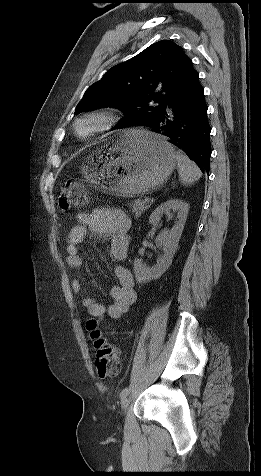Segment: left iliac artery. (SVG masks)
<instances>
[{
	"instance_id": "obj_1",
	"label": "left iliac artery",
	"mask_w": 261,
	"mask_h": 476,
	"mask_svg": "<svg viewBox=\"0 0 261 476\" xmlns=\"http://www.w3.org/2000/svg\"><path fill=\"white\" fill-rule=\"evenodd\" d=\"M129 393V387H125L121 393H120V397H123L125 395H127Z\"/></svg>"
}]
</instances>
